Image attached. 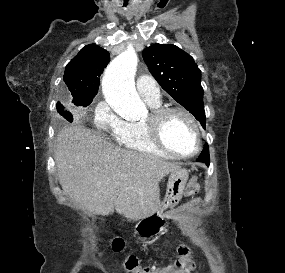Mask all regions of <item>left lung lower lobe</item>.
<instances>
[{"instance_id":"0a47b994","label":"left lung lower lobe","mask_w":285,"mask_h":273,"mask_svg":"<svg viewBox=\"0 0 285 273\" xmlns=\"http://www.w3.org/2000/svg\"><path fill=\"white\" fill-rule=\"evenodd\" d=\"M197 161L204 162V163H206L209 166L210 158H209V151H208V147L207 146L204 148V150L200 154V156H199Z\"/></svg>"}]
</instances>
